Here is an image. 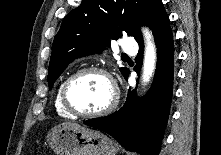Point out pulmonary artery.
<instances>
[{
  "mask_svg": "<svg viewBox=\"0 0 221 155\" xmlns=\"http://www.w3.org/2000/svg\"><path fill=\"white\" fill-rule=\"evenodd\" d=\"M122 50L128 54H135L137 52V44L131 38H126L122 43Z\"/></svg>",
  "mask_w": 221,
  "mask_h": 155,
  "instance_id": "1",
  "label": "pulmonary artery"
}]
</instances>
